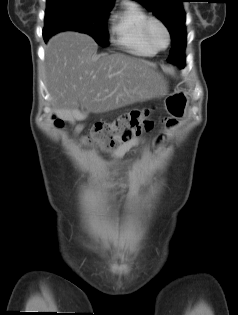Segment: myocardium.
Returning <instances> with one entry per match:
<instances>
[{
	"label": "myocardium",
	"instance_id": "obj_1",
	"mask_svg": "<svg viewBox=\"0 0 238 315\" xmlns=\"http://www.w3.org/2000/svg\"><path fill=\"white\" fill-rule=\"evenodd\" d=\"M154 25H158L165 34L166 43L164 46L157 45L152 38L151 30ZM144 34L148 43L157 51L164 50L170 45V42H171L170 31L167 25L165 24V22L158 17H149V19L147 20L144 26Z\"/></svg>",
	"mask_w": 238,
	"mask_h": 315
}]
</instances>
